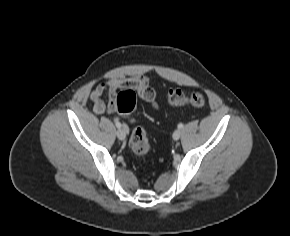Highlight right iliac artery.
Wrapping results in <instances>:
<instances>
[{"mask_svg":"<svg viewBox=\"0 0 290 236\" xmlns=\"http://www.w3.org/2000/svg\"><path fill=\"white\" fill-rule=\"evenodd\" d=\"M115 125H116L118 128H120V127H121V123H120V122H118V121L115 123Z\"/></svg>","mask_w":290,"mask_h":236,"instance_id":"1","label":"right iliac artery"}]
</instances>
